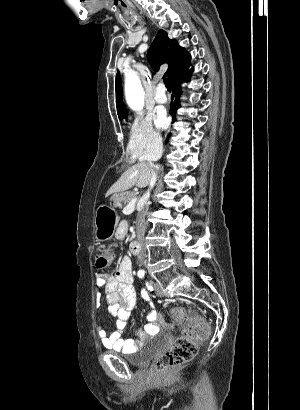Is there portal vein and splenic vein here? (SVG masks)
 Returning a JSON list of instances; mask_svg holds the SVG:
<instances>
[{"label": "portal vein and splenic vein", "mask_w": 300, "mask_h": 410, "mask_svg": "<svg viewBox=\"0 0 300 410\" xmlns=\"http://www.w3.org/2000/svg\"><path fill=\"white\" fill-rule=\"evenodd\" d=\"M137 202V197H134L124 208L123 212L124 213H132L135 209V205Z\"/></svg>", "instance_id": "obj_1"}]
</instances>
